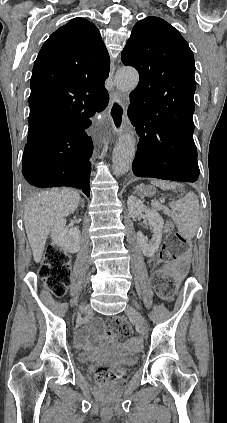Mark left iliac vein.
Listing matches in <instances>:
<instances>
[{
    "instance_id": "4c4485c4",
    "label": "left iliac vein",
    "mask_w": 227,
    "mask_h": 423,
    "mask_svg": "<svg viewBox=\"0 0 227 423\" xmlns=\"http://www.w3.org/2000/svg\"><path fill=\"white\" fill-rule=\"evenodd\" d=\"M126 314L128 317L132 318L137 325H144L145 320L142 316V314L135 308L131 306H127L126 308Z\"/></svg>"
}]
</instances>
